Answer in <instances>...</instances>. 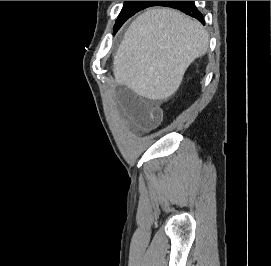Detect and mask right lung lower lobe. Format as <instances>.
Here are the masks:
<instances>
[{
  "instance_id": "1",
  "label": "right lung lower lobe",
  "mask_w": 271,
  "mask_h": 266,
  "mask_svg": "<svg viewBox=\"0 0 271 266\" xmlns=\"http://www.w3.org/2000/svg\"><path fill=\"white\" fill-rule=\"evenodd\" d=\"M156 5L179 9L204 24L203 16L196 8L194 1H159Z\"/></svg>"
}]
</instances>
